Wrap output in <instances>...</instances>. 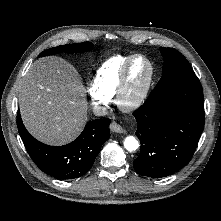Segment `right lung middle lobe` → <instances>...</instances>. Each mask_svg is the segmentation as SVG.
I'll return each mask as SVG.
<instances>
[{
    "instance_id": "1",
    "label": "right lung middle lobe",
    "mask_w": 221,
    "mask_h": 221,
    "mask_svg": "<svg viewBox=\"0 0 221 221\" xmlns=\"http://www.w3.org/2000/svg\"><path fill=\"white\" fill-rule=\"evenodd\" d=\"M93 44L90 42H83L78 44H67V45H61L57 46L48 50H45L40 53V57L60 53V52H66V53H75V52H84L87 50L92 49Z\"/></svg>"
}]
</instances>
